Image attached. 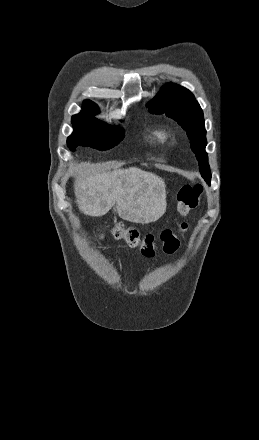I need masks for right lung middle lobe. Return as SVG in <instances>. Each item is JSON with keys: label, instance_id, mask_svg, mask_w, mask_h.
Listing matches in <instances>:
<instances>
[{"label": "right lung middle lobe", "instance_id": "obj_1", "mask_svg": "<svg viewBox=\"0 0 259 440\" xmlns=\"http://www.w3.org/2000/svg\"><path fill=\"white\" fill-rule=\"evenodd\" d=\"M96 108L83 107L80 114L72 117L74 132L67 139L71 150L77 146L92 147L98 150H107L116 146L124 137L122 128L113 127L96 119Z\"/></svg>", "mask_w": 259, "mask_h": 440}]
</instances>
